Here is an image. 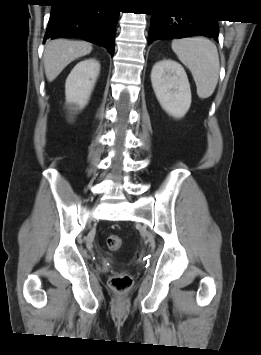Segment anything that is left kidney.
Listing matches in <instances>:
<instances>
[{
    "instance_id": "5707ae66",
    "label": "left kidney",
    "mask_w": 261,
    "mask_h": 355,
    "mask_svg": "<svg viewBox=\"0 0 261 355\" xmlns=\"http://www.w3.org/2000/svg\"><path fill=\"white\" fill-rule=\"evenodd\" d=\"M151 82L161 107L174 118H182L191 105L190 84L182 65L171 59L157 62Z\"/></svg>"
}]
</instances>
